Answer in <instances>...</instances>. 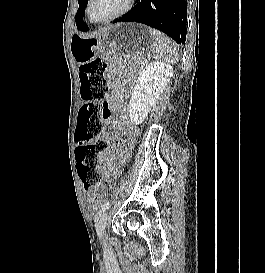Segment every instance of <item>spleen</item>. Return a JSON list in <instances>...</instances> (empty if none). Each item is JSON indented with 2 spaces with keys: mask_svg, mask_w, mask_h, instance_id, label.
<instances>
[{
  "mask_svg": "<svg viewBox=\"0 0 265 273\" xmlns=\"http://www.w3.org/2000/svg\"><path fill=\"white\" fill-rule=\"evenodd\" d=\"M149 33L153 40L155 59L166 63H176L178 52L175 44L160 31L149 28Z\"/></svg>",
  "mask_w": 265,
  "mask_h": 273,
  "instance_id": "spleen-1",
  "label": "spleen"
}]
</instances>
